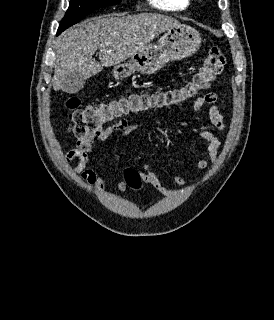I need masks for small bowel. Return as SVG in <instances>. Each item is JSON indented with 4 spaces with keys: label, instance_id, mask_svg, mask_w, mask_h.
Segmentation results:
<instances>
[{
    "label": "small bowel",
    "instance_id": "1",
    "mask_svg": "<svg viewBox=\"0 0 274 320\" xmlns=\"http://www.w3.org/2000/svg\"><path fill=\"white\" fill-rule=\"evenodd\" d=\"M219 96L215 92H210L205 95L198 96L193 102V111L195 113L200 112L206 105L208 106V117L212 126L220 131H223L226 127L224 117L218 108ZM142 127L141 124L129 123L125 119L119 120L114 125L105 126L98 132L90 133L84 137L77 140L74 148L70 149L66 155V161H77L74 167V173L79 175L85 182L90 186L97 188L99 192H104L106 189V184L95 168L96 157L94 155V145L96 143H104L107 141L114 133H119L120 138H126L135 131ZM199 136L205 143L207 154L209 156V161L204 158H199L197 160L196 166L200 171H204L208 168L210 163H214L217 159L221 141L209 129H200L198 131ZM139 174L141 179L151 185L156 191H158L163 196L172 197L178 194L179 188H169L165 186L158 175L151 170L148 164H142L139 169ZM172 179L174 183L183 187L186 185V179L181 175H173ZM110 183L118 191H124L126 189V183L123 181L115 180L113 177L109 178Z\"/></svg>",
    "mask_w": 274,
    "mask_h": 320
}]
</instances>
